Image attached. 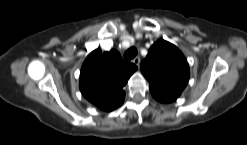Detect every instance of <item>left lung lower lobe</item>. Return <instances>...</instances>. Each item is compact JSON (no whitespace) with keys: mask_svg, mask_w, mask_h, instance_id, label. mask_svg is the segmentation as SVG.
Wrapping results in <instances>:
<instances>
[{"mask_svg":"<svg viewBox=\"0 0 247 145\" xmlns=\"http://www.w3.org/2000/svg\"><path fill=\"white\" fill-rule=\"evenodd\" d=\"M152 96L159 102L170 103L175 101L176 99L170 95L159 93V92H151Z\"/></svg>","mask_w":247,"mask_h":145,"instance_id":"0a47b994","label":"left lung lower lobe"}]
</instances>
